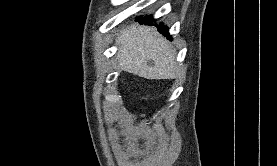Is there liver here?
I'll return each instance as SVG.
<instances>
[{
    "instance_id": "1",
    "label": "liver",
    "mask_w": 277,
    "mask_h": 166,
    "mask_svg": "<svg viewBox=\"0 0 277 166\" xmlns=\"http://www.w3.org/2000/svg\"><path fill=\"white\" fill-rule=\"evenodd\" d=\"M117 43V64L126 72L156 80L173 78L180 72L175 50L155 29L131 25L121 31ZM148 61H153V66Z\"/></svg>"
}]
</instances>
